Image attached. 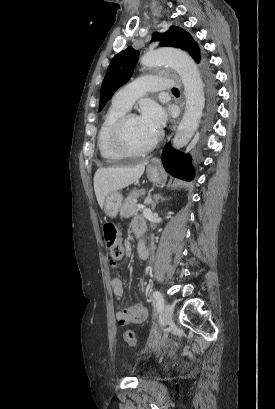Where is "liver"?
Returning <instances> with one entry per match:
<instances>
[{"mask_svg":"<svg viewBox=\"0 0 275 409\" xmlns=\"http://www.w3.org/2000/svg\"><path fill=\"white\" fill-rule=\"evenodd\" d=\"M145 170V164H137L132 168H120V166H110V168H97L94 174V190L99 202L100 209H103L105 196L113 190H120L135 180L140 178Z\"/></svg>","mask_w":275,"mask_h":409,"instance_id":"obj_1","label":"liver"}]
</instances>
